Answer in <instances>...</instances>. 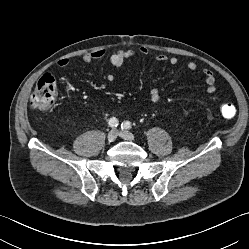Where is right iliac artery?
Segmentation results:
<instances>
[{
    "label": "right iliac artery",
    "instance_id": "obj_1",
    "mask_svg": "<svg viewBox=\"0 0 249 249\" xmlns=\"http://www.w3.org/2000/svg\"><path fill=\"white\" fill-rule=\"evenodd\" d=\"M118 123L119 122L115 117L110 118L109 121H108L109 126L112 127V128L117 127Z\"/></svg>",
    "mask_w": 249,
    "mask_h": 249
}]
</instances>
